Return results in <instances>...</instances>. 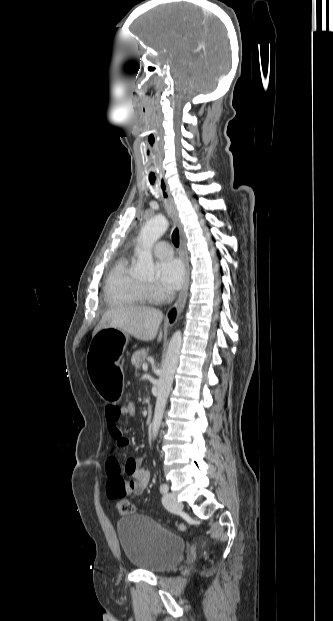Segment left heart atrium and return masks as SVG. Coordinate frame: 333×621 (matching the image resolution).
I'll use <instances>...</instances> for the list:
<instances>
[{
	"label": "left heart atrium",
	"mask_w": 333,
	"mask_h": 621,
	"mask_svg": "<svg viewBox=\"0 0 333 621\" xmlns=\"http://www.w3.org/2000/svg\"><path fill=\"white\" fill-rule=\"evenodd\" d=\"M158 282L166 291L181 288L185 280V269L178 259L163 260L157 265Z\"/></svg>",
	"instance_id": "obj_1"
}]
</instances>
